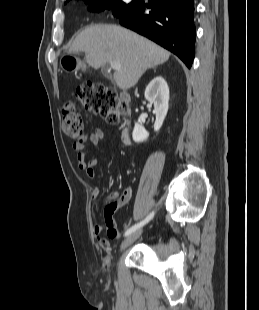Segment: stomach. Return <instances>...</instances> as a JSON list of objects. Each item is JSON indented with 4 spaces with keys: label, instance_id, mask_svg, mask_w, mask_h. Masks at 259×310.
Wrapping results in <instances>:
<instances>
[{
    "label": "stomach",
    "instance_id": "1",
    "mask_svg": "<svg viewBox=\"0 0 259 310\" xmlns=\"http://www.w3.org/2000/svg\"><path fill=\"white\" fill-rule=\"evenodd\" d=\"M60 67L64 71L73 72L83 68V64L73 52H68L61 57Z\"/></svg>",
    "mask_w": 259,
    "mask_h": 310
}]
</instances>
